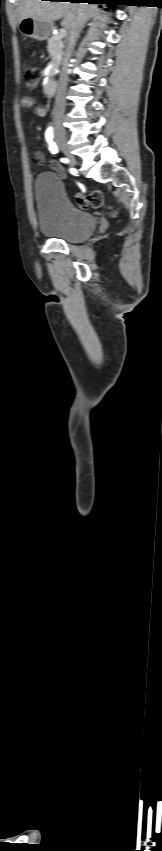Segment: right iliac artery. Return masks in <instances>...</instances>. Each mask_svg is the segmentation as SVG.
<instances>
[{"mask_svg": "<svg viewBox=\"0 0 162 851\" xmlns=\"http://www.w3.org/2000/svg\"><path fill=\"white\" fill-rule=\"evenodd\" d=\"M45 138H46V141H47V142H48V144H49V150H50L53 154L58 153V147H57V145L55 144V142H53V129H52V127H49V128L46 130V132H45ZM61 161H64V159H61ZM84 188H85V187H84L81 183L78 185V189H79V190H83ZM83 195H84V196H87V195H88V192H87V191H84V192H83Z\"/></svg>", "mask_w": 162, "mask_h": 851, "instance_id": "82829eb1", "label": "right iliac artery"}]
</instances>
